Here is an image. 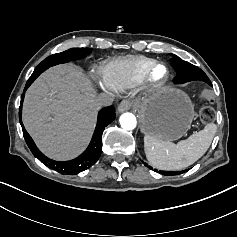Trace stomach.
I'll use <instances>...</instances> for the list:
<instances>
[{
	"label": "stomach",
	"instance_id": "1",
	"mask_svg": "<svg viewBox=\"0 0 237 237\" xmlns=\"http://www.w3.org/2000/svg\"><path fill=\"white\" fill-rule=\"evenodd\" d=\"M136 108L141 111V131L167 142L183 137L195 115L189 97L172 87L142 96Z\"/></svg>",
	"mask_w": 237,
	"mask_h": 237
}]
</instances>
